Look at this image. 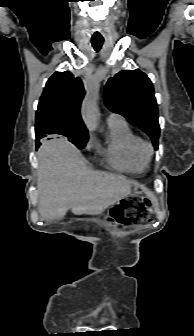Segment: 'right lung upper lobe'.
<instances>
[{"instance_id": "cb5924a9", "label": "right lung upper lobe", "mask_w": 194, "mask_h": 336, "mask_svg": "<svg viewBox=\"0 0 194 336\" xmlns=\"http://www.w3.org/2000/svg\"><path fill=\"white\" fill-rule=\"evenodd\" d=\"M85 95L82 81L69 71L56 72L47 81L36 112V145L39 139L87 134L80 106Z\"/></svg>"}]
</instances>
